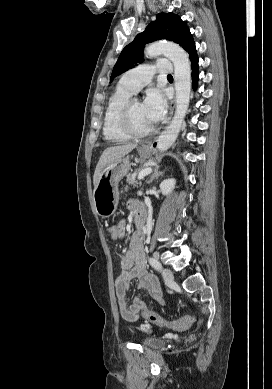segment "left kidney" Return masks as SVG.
I'll return each mask as SVG.
<instances>
[{
	"label": "left kidney",
	"instance_id": "obj_1",
	"mask_svg": "<svg viewBox=\"0 0 272 389\" xmlns=\"http://www.w3.org/2000/svg\"><path fill=\"white\" fill-rule=\"evenodd\" d=\"M176 180L173 178L166 179L160 184V191L163 195H169L175 188Z\"/></svg>",
	"mask_w": 272,
	"mask_h": 389
}]
</instances>
